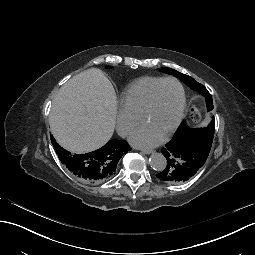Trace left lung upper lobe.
Here are the masks:
<instances>
[{"label":"left lung upper lobe","instance_id":"1","mask_svg":"<svg viewBox=\"0 0 255 255\" xmlns=\"http://www.w3.org/2000/svg\"><path fill=\"white\" fill-rule=\"evenodd\" d=\"M159 70L164 73H167V74L177 77L182 82H184L187 86H189L191 89L196 90L199 93H201L206 98L208 111H211L213 109L212 96L210 95V93L207 91V89L202 84L196 82L192 77L182 74V73H180L174 69H171V68H159ZM179 128L176 131L173 138H175L180 133L183 137L187 138L188 140L197 141L198 143H200V148L202 151L210 152L212 142H213L214 132H215V118H213L211 123L207 127H204V128H198V129L192 130L185 124V122H183ZM173 138H172V140H173ZM167 165H168V162H167ZM162 181H164V180H162Z\"/></svg>","mask_w":255,"mask_h":255}]
</instances>
